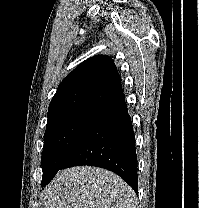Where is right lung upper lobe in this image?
I'll return each mask as SVG.
<instances>
[{
    "instance_id": "right-lung-upper-lobe-1",
    "label": "right lung upper lobe",
    "mask_w": 199,
    "mask_h": 208,
    "mask_svg": "<svg viewBox=\"0 0 199 208\" xmlns=\"http://www.w3.org/2000/svg\"><path fill=\"white\" fill-rule=\"evenodd\" d=\"M121 94V78L114 61L107 55H96L59 84L49 105L48 118L75 108H101Z\"/></svg>"
}]
</instances>
